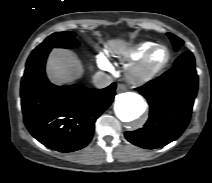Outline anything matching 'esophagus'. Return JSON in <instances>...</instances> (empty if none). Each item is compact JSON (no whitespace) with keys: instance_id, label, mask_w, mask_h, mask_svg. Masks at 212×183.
Masks as SVG:
<instances>
[{"instance_id":"34e87169","label":"esophagus","mask_w":212,"mask_h":183,"mask_svg":"<svg viewBox=\"0 0 212 183\" xmlns=\"http://www.w3.org/2000/svg\"><path fill=\"white\" fill-rule=\"evenodd\" d=\"M125 88H126V86H125L124 84H119V85L117 86V91H118V92H122V91L125 90Z\"/></svg>"}]
</instances>
